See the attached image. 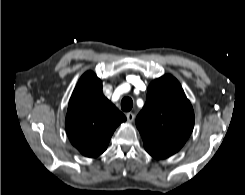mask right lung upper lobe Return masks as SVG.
Returning <instances> with one entry per match:
<instances>
[{
  "mask_svg": "<svg viewBox=\"0 0 245 195\" xmlns=\"http://www.w3.org/2000/svg\"><path fill=\"white\" fill-rule=\"evenodd\" d=\"M126 117L102 93V82L88 71L79 79L69 101L66 131L86 157L102 154L116 127Z\"/></svg>",
  "mask_w": 245,
  "mask_h": 195,
  "instance_id": "1",
  "label": "right lung upper lobe"
}]
</instances>
